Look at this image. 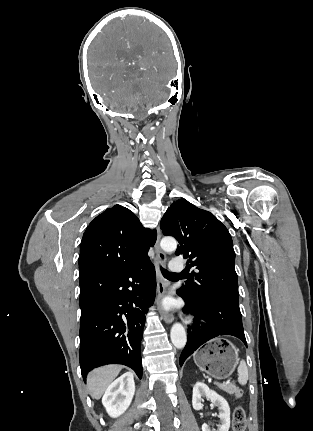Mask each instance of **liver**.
Returning a JSON list of instances; mask_svg holds the SVG:
<instances>
[{
  "instance_id": "obj_1",
  "label": "liver",
  "mask_w": 313,
  "mask_h": 431,
  "mask_svg": "<svg viewBox=\"0 0 313 431\" xmlns=\"http://www.w3.org/2000/svg\"><path fill=\"white\" fill-rule=\"evenodd\" d=\"M121 369V366L109 365L93 370L88 375V389L91 397L97 400L100 399Z\"/></svg>"
}]
</instances>
